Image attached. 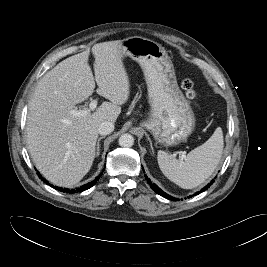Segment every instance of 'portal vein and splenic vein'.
<instances>
[{"instance_id": "portal-vein-and-splenic-vein-1", "label": "portal vein and splenic vein", "mask_w": 267, "mask_h": 267, "mask_svg": "<svg viewBox=\"0 0 267 267\" xmlns=\"http://www.w3.org/2000/svg\"><path fill=\"white\" fill-rule=\"evenodd\" d=\"M97 100L96 99H93L90 104H89V110H71V114L73 116H76V117H80V116H85L87 115L90 111H93L96 106H97ZM185 155H183L182 157H184Z\"/></svg>"}]
</instances>
